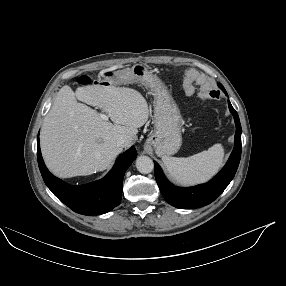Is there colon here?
I'll list each match as a JSON object with an SVG mask.
<instances>
[{
  "label": "colon",
  "mask_w": 286,
  "mask_h": 286,
  "mask_svg": "<svg viewBox=\"0 0 286 286\" xmlns=\"http://www.w3.org/2000/svg\"><path fill=\"white\" fill-rule=\"evenodd\" d=\"M106 76H111L112 75V71H107L105 73ZM98 77L96 75L93 76H88V75H83L79 78V84L82 86H87L90 85L92 82H94ZM201 96H205V94H200ZM208 96V94H207Z\"/></svg>",
  "instance_id": "obj_1"
}]
</instances>
